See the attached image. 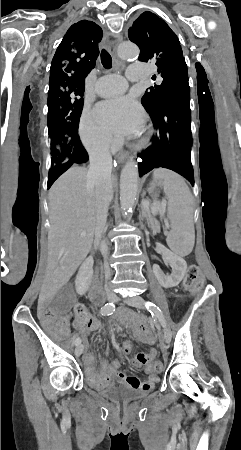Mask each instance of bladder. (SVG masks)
Wrapping results in <instances>:
<instances>
[{
	"mask_svg": "<svg viewBox=\"0 0 241 450\" xmlns=\"http://www.w3.org/2000/svg\"><path fill=\"white\" fill-rule=\"evenodd\" d=\"M102 392L107 398L117 402H130L142 395L139 391L121 382L106 386Z\"/></svg>",
	"mask_w": 241,
	"mask_h": 450,
	"instance_id": "bladder-1",
	"label": "bladder"
}]
</instances>
